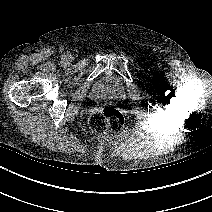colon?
I'll return each instance as SVG.
<instances>
[{"label": "colon", "instance_id": "obj_1", "mask_svg": "<svg viewBox=\"0 0 212 212\" xmlns=\"http://www.w3.org/2000/svg\"><path fill=\"white\" fill-rule=\"evenodd\" d=\"M90 128L97 133L118 132L125 125L123 114L113 107H104L92 112L88 119Z\"/></svg>", "mask_w": 212, "mask_h": 212}]
</instances>
